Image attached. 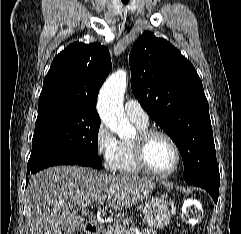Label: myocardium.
Returning <instances> with one entry per match:
<instances>
[{"label":"myocardium","mask_w":241,"mask_h":234,"mask_svg":"<svg viewBox=\"0 0 241 234\" xmlns=\"http://www.w3.org/2000/svg\"><path fill=\"white\" fill-rule=\"evenodd\" d=\"M156 136H161L166 140H168L175 150L176 162L174 167L169 171H165V172L157 171L154 168H152V166L148 161V157H147L148 145L150 141ZM134 145H135V157H136L137 163L140 166V168L147 174H150L155 177L165 178L173 175L179 169L181 160H182V152L177 141L169 133L156 128H147L139 132V134L134 140Z\"/></svg>","instance_id":"f54148a6"}]
</instances>
